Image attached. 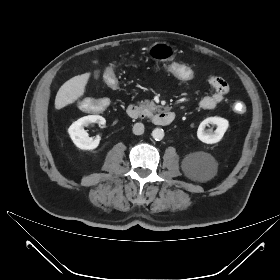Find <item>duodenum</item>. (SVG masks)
Here are the masks:
<instances>
[{"label":"duodenum","instance_id":"obj_1","mask_svg":"<svg viewBox=\"0 0 280 280\" xmlns=\"http://www.w3.org/2000/svg\"><path fill=\"white\" fill-rule=\"evenodd\" d=\"M127 115L131 119H138L143 117V113L137 104H130L127 107ZM175 113L173 111L165 110L161 111L152 117L151 121L159 126H167L173 122Z\"/></svg>","mask_w":280,"mask_h":280}]
</instances>
